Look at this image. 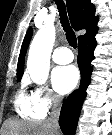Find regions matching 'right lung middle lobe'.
Listing matches in <instances>:
<instances>
[{"label":"right lung middle lobe","instance_id":"1","mask_svg":"<svg viewBox=\"0 0 112 135\" xmlns=\"http://www.w3.org/2000/svg\"><path fill=\"white\" fill-rule=\"evenodd\" d=\"M21 78H17V81L20 82Z\"/></svg>","mask_w":112,"mask_h":135}]
</instances>
